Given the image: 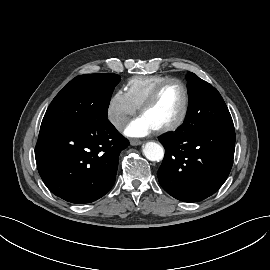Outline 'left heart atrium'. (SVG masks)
I'll use <instances>...</instances> for the list:
<instances>
[{
	"mask_svg": "<svg viewBox=\"0 0 270 270\" xmlns=\"http://www.w3.org/2000/svg\"><path fill=\"white\" fill-rule=\"evenodd\" d=\"M155 130L142 115L132 120L125 128V135L132 138H139L149 135Z\"/></svg>",
	"mask_w": 270,
	"mask_h": 270,
	"instance_id": "obj_1",
	"label": "left heart atrium"
}]
</instances>
